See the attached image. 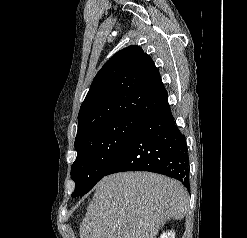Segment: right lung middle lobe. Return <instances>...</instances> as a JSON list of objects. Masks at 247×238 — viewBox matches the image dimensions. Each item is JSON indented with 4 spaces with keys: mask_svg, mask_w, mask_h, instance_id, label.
<instances>
[{
    "mask_svg": "<svg viewBox=\"0 0 247 238\" xmlns=\"http://www.w3.org/2000/svg\"><path fill=\"white\" fill-rule=\"evenodd\" d=\"M142 117H122L75 139L77 158L71 168L75 181L72 197L86 194L106 172L144 122Z\"/></svg>",
    "mask_w": 247,
    "mask_h": 238,
    "instance_id": "obj_1",
    "label": "right lung middle lobe"
}]
</instances>
